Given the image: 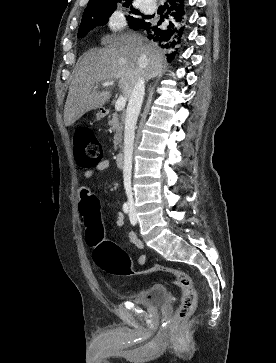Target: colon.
I'll return each instance as SVG.
<instances>
[{
  "mask_svg": "<svg viewBox=\"0 0 276 363\" xmlns=\"http://www.w3.org/2000/svg\"><path fill=\"white\" fill-rule=\"evenodd\" d=\"M74 150L82 167H92L102 161L103 149L95 134L89 128H79L74 133ZM86 241L93 249L94 262L104 271L118 276L133 274L131 257L116 243L104 239V230L100 223L98 212L88 218ZM157 272L172 275L182 288L183 295L177 308L174 324L190 316L198 302V288L185 271L155 265Z\"/></svg>",
  "mask_w": 276,
  "mask_h": 363,
  "instance_id": "1",
  "label": "colon"
}]
</instances>
